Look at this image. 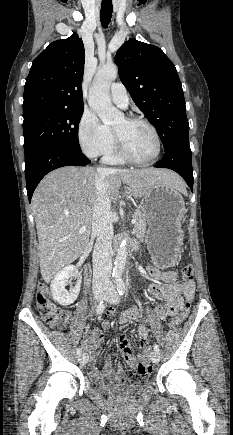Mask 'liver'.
Listing matches in <instances>:
<instances>
[{"instance_id":"1","label":"liver","mask_w":233,"mask_h":435,"mask_svg":"<svg viewBox=\"0 0 233 435\" xmlns=\"http://www.w3.org/2000/svg\"><path fill=\"white\" fill-rule=\"evenodd\" d=\"M96 176L103 179L113 202L117 200L121 181L130 186L136 198L146 195L158 183L185 192L180 176L165 169L110 168L98 173L93 167L65 166L50 172L37 186L31 202L39 240L40 271L46 282L78 259L88 246ZM82 227L86 230L79 233Z\"/></svg>"}]
</instances>
